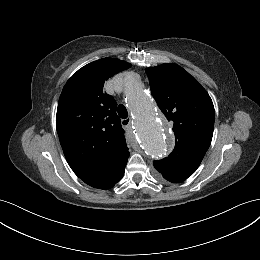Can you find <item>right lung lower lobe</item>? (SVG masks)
<instances>
[{"mask_svg":"<svg viewBox=\"0 0 260 260\" xmlns=\"http://www.w3.org/2000/svg\"><path fill=\"white\" fill-rule=\"evenodd\" d=\"M114 185H112V186H109V187H106V188H104V189H109V188H111V187H113Z\"/></svg>","mask_w":260,"mask_h":260,"instance_id":"obj_1","label":"right lung lower lobe"}]
</instances>
